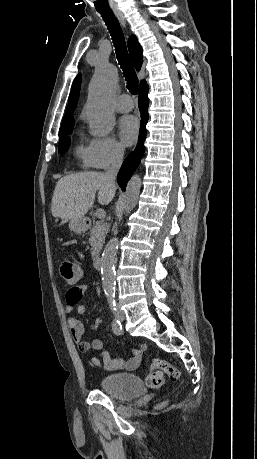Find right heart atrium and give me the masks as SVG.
Returning <instances> with one entry per match:
<instances>
[{
	"label": "right heart atrium",
	"instance_id": "obj_1",
	"mask_svg": "<svg viewBox=\"0 0 257 459\" xmlns=\"http://www.w3.org/2000/svg\"><path fill=\"white\" fill-rule=\"evenodd\" d=\"M88 152L93 167L106 169L121 160L124 148L113 137H96L89 141Z\"/></svg>",
	"mask_w": 257,
	"mask_h": 459
}]
</instances>
